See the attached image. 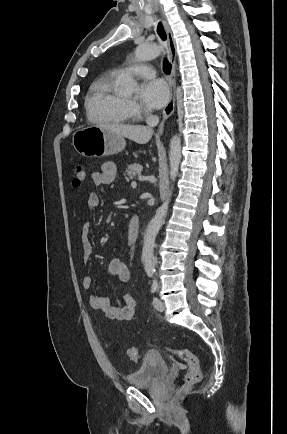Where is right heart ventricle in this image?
Here are the masks:
<instances>
[{
  "mask_svg": "<svg viewBox=\"0 0 287 434\" xmlns=\"http://www.w3.org/2000/svg\"><path fill=\"white\" fill-rule=\"evenodd\" d=\"M122 76L118 70H111L93 81L85 100L90 121L115 124L129 121L127 101L117 90Z\"/></svg>",
  "mask_w": 287,
  "mask_h": 434,
  "instance_id": "e07e8e85",
  "label": "right heart ventricle"
}]
</instances>
